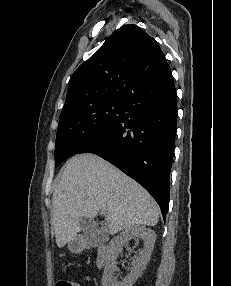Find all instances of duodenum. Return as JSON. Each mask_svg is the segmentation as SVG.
Instances as JSON below:
<instances>
[{
  "label": "duodenum",
  "mask_w": 231,
  "mask_h": 286,
  "mask_svg": "<svg viewBox=\"0 0 231 286\" xmlns=\"http://www.w3.org/2000/svg\"><path fill=\"white\" fill-rule=\"evenodd\" d=\"M80 246L85 249H96V266L102 269L106 266L108 260V247L100 240L83 239Z\"/></svg>",
  "instance_id": "1"
}]
</instances>
